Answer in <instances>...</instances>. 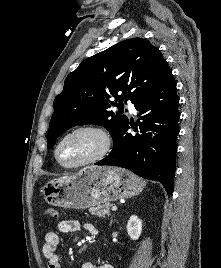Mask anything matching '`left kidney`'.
<instances>
[{"label": "left kidney", "mask_w": 221, "mask_h": 268, "mask_svg": "<svg viewBox=\"0 0 221 268\" xmlns=\"http://www.w3.org/2000/svg\"><path fill=\"white\" fill-rule=\"evenodd\" d=\"M127 232L132 240H138L142 233V220L132 215L127 223Z\"/></svg>", "instance_id": "left-kidney-1"}]
</instances>
